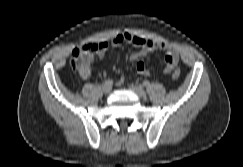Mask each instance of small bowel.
I'll return each mask as SVG.
<instances>
[{"instance_id":"obj_1","label":"small bowel","mask_w":243,"mask_h":167,"mask_svg":"<svg viewBox=\"0 0 243 167\" xmlns=\"http://www.w3.org/2000/svg\"><path fill=\"white\" fill-rule=\"evenodd\" d=\"M123 43H128L134 46L137 50L130 54V59L136 62V71L141 75H149V71L142 59L151 51L155 49L164 50L166 55L164 57V65L162 72L169 74L178 64L179 55L177 51L166 42L154 41L139 35L131 33L117 34L111 41H103L99 44L98 56L104 58L112 46H119ZM89 75V74H88ZM88 75L84 77H88ZM124 82V77L120 78L119 83Z\"/></svg>"}]
</instances>
